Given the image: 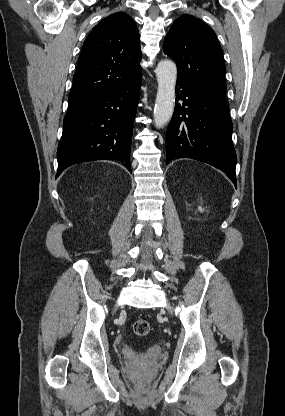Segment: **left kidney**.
<instances>
[{"label": "left kidney", "mask_w": 285, "mask_h": 416, "mask_svg": "<svg viewBox=\"0 0 285 416\" xmlns=\"http://www.w3.org/2000/svg\"><path fill=\"white\" fill-rule=\"evenodd\" d=\"M199 210H200V212H204L203 208H200V206H199Z\"/></svg>", "instance_id": "5707ae66"}]
</instances>
